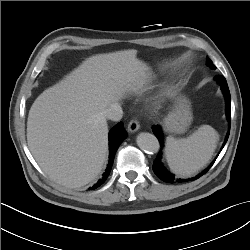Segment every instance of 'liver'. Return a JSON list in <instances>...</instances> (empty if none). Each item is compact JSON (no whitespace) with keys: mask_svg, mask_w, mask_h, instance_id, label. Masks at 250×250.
<instances>
[{"mask_svg":"<svg viewBox=\"0 0 250 250\" xmlns=\"http://www.w3.org/2000/svg\"><path fill=\"white\" fill-rule=\"evenodd\" d=\"M147 78L146 63L131 49L91 56L41 93L27 120L28 147L41 169L68 188L96 179L108 151L104 110Z\"/></svg>","mask_w":250,"mask_h":250,"instance_id":"liver-1","label":"liver"}]
</instances>
